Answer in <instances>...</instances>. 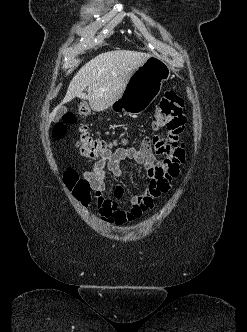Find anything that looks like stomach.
Listing matches in <instances>:
<instances>
[{"instance_id":"1","label":"stomach","mask_w":247,"mask_h":332,"mask_svg":"<svg viewBox=\"0 0 247 332\" xmlns=\"http://www.w3.org/2000/svg\"><path fill=\"white\" fill-rule=\"evenodd\" d=\"M170 76L168 63L156 56L149 57L133 72L121 96L111 104V109L130 116L142 114L158 97L163 82Z\"/></svg>"}]
</instances>
